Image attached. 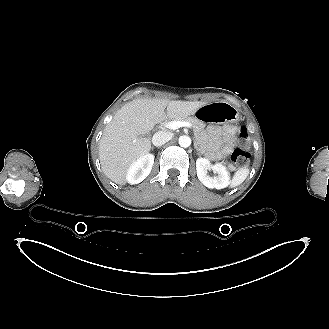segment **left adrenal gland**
I'll return each instance as SVG.
<instances>
[{
  "mask_svg": "<svg viewBox=\"0 0 329 329\" xmlns=\"http://www.w3.org/2000/svg\"><path fill=\"white\" fill-rule=\"evenodd\" d=\"M195 149L197 150V154H198V155H201V153H200V151H199V149H198V147H197L196 144H195Z\"/></svg>",
  "mask_w": 329,
  "mask_h": 329,
  "instance_id": "obj_1",
  "label": "left adrenal gland"
}]
</instances>
